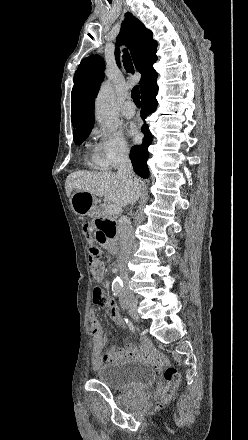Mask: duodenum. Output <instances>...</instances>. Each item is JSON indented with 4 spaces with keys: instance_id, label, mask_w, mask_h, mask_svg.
<instances>
[{
    "instance_id": "1",
    "label": "duodenum",
    "mask_w": 248,
    "mask_h": 440,
    "mask_svg": "<svg viewBox=\"0 0 248 440\" xmlns=\"http://www.w3.org/2000/svg\"><path fill=\"white\" fill-rule=\"evenodd\" d=\"M109 251L112 256H117L119 253L118 246L115 244H114V246H110Z\"/></svg>"
}]
</instances>
